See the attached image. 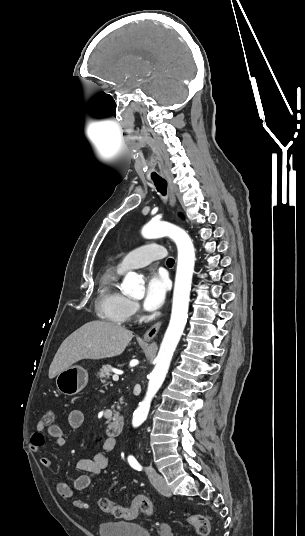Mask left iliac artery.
<instances>
[{"instance_id": "44dca946", "label": "left iliac artery", "mask_w": 305, "mask_h": 536, "mask_svg": "<svg viewBox=\"0 0 305 536\" xmlns=\"http://www.w3.org/2000/svg\"><path fill=\"white\" fill-rule=\"evenodd\" d=\"M128 462L131 465V467H133L134 469H136L138 471L142 470V466L138 463V461L135 459V457L130 456L128 458Z\"/></svg>"}]
</instances>
